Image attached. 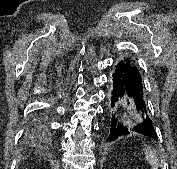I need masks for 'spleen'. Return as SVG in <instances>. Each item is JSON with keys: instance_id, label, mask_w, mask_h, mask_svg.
<instances>
[{"instance_id": "spleen-1", "label": "spleen", "mask_w": 177, "mask_h": 169, "mask_svg": "<svg viewBox=\"0 0 177 169\" xmlns=\"http://www.w3.org/2000/svg\"><path fill=\"white\" fill-rule=\"evenodd\" d=\"M145 156H146V160L149 162L152 169L159 168V162H158V158L156 156L155 150L150 149V148H146L145 149Z\"/></svg>"}]
</instances>
